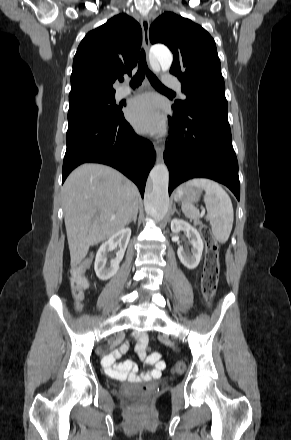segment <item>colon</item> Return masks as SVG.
<instances>
[{"label": "colon", "instance_id": "colon-1", "mask_svg": "<svg viewBox=\"0 0 291 440\" xmlns=\"http://www.w3.org/2000/svg\"><path fill=\"white\" fill-rule=\"evenodd\" d=\"M203 240L205 242V264L202 276V292L205 299L209 302L214 296L219 280V245L217 240L213 237L211 231L206 226L200 228ZM89 261L83 259L79 266L73 271L71 277V285L74 294L80 298L88 287L87 280L84 276V271L88 267ZM154 360L159 359L158 353H151L149 355ZM147 398L145 391H137L132 397V403L135 407H142L146 404Z\"/></svg>", "mask_w": 291, "mask_h": 440}]
</instances>
